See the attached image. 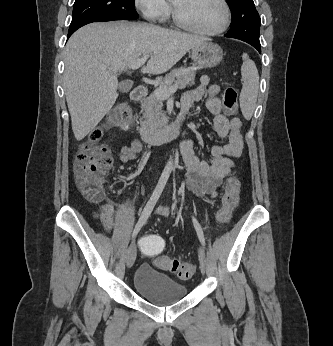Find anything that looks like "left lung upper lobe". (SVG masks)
<instances>
[{
	"label": "left lung upper lobe",
	"instance_id": "left-lung-upper-lobe-1",
	"mask_svg": "<svg viewBox=\"0 0 333 346\" xmlns=\"http://www.w3.org/2000/svg\"><path fill=\"white\" fill-rule=\"evenodd\" d=\"M232 12V26L227 36L243 41H259L261 19L253 0H227Z\"/></svg>",
	"mask_w": 333,
	"mask_h": 346
}]
</instances>
